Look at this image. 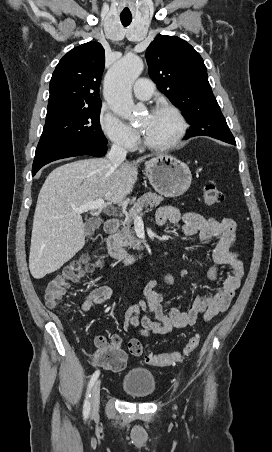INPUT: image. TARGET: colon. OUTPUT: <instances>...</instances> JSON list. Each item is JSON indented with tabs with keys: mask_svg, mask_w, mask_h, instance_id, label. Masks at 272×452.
Masks as SVG:
<instances>
[{
	"mask_svg": "<svg viewBox=\"0 0 272 452\" xmlns=\"http://www.w3.org/2000/svg\"><path fill=\"white\" fill-rule=\"evenodd\" d=\"M202 198L206 206H216L223 202L224 195L215 184L209 183L203 187ZM94 267L95 263L88 256L70 264L47 286L45 291L46 305L51 309H57L60 306L68 285L78 281L85 273L92 271ZM199 342L200 335L196 333L189 339L181 351L150 354L144 359V362L158 367L175 364L194 352ZM96 345L97 352L95 353V361L98 365L106 370L113 371L120 370L124 367L126 356L116 345L108 344L106 339L98 341ZM128 348L134 356H141L143 354V346L139 341H130Z\"/></svg>",
	"mask_w": 272,
	"mask_h": 452,
	"instance_id": "5ec220e1",
	"label": "colon"
}]
</instances>
